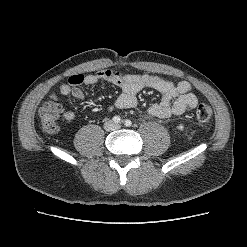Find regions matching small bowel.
<instances>
[{"mask_svg":"<svg viewBox=\"0 0 247 247\" xmlns=\"http://www.w3.org/2000/svg\"><path fill=\"white\" fill-rule=\"evenodd\" d=\"M103 81L110 82L121 90L115 102L108 107L109 111L135 107L137 105V94L143 88H152L162 94L159 103L152 104L147 108V113L153 117L163 119L172 115H182L195 108L198 103L192 85L187 81L174 83L172 80L158 75L129 74L112 70L89 75H72L66 84L59 87L54 99L58 102L61 97L72 96L76 99L85 100V94L80 86L95 85ZM61 116L69 122L76 118L73 111H64ZM57 130L58 126L53 132Z\"/></svg>","mask_w":247,"mask_h":247,"instance_id":"obj_1","label":"small bowel"}]
</instances>
